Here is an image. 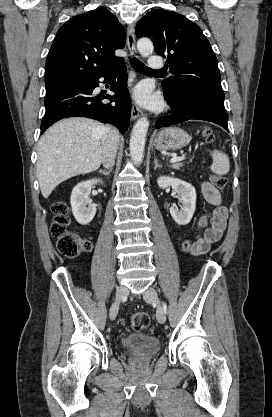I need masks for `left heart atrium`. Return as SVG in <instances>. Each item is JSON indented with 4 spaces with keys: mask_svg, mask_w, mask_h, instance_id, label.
<instances>
[{
    "mask_svg": "<svg viewBox=\"0 0 272 417\" xmlns=\"http://www.w3.org/2000/svg\"><path fill=\"white\" fill-rule=\"evenodd\" d=\"M132 97L136 103L153 109L161 104L159 96L154 94L151 86L146 83L137 85L132 92Z\"/></svg>",
    "mask_w": 272,
    "mask_h": 417,
    "instance_id": "obj_1",
    "label": "left heart atrium"
}]
</instances>
